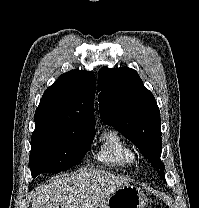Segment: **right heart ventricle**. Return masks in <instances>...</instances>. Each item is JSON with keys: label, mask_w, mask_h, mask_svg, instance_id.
<instances>
[{"label": "right heart ventricle", "mask_w": 199, "mask_h": 208, "mask_svg": "<svg viewBox=\"0 0 199 208\" xmlns=\"http://www.w3.org/2000/svg\"><path fill=\"white\" fill-rule=\"evenodd\" d=\"M96 159L111 167L126 169L135 161V154L128 142L115 130L105 132Z\"/></svg>", "instance_id": "right-heart-ventricle-1"}]
</instances>
